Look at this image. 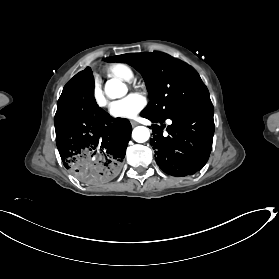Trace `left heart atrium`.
I'll return each instance as SVG.
<instances>
[{"instance_id": "left-heart-atrium-1", "label": "left heart atrium", "mask_w": 279, "mask_h": 279, "mask_svg": "<svg viewBox=\"0 0 279 279\" xmlns=\"http://www.w3.org/2000/svg\"><path fill=\"white\" fill-rule=\"evenodd\" d=\"M145 103V99L141 95L130 94L122 100L112 103L109 113L114 118L132 119L145 107Z\"/></svg>"}]
</instances>
